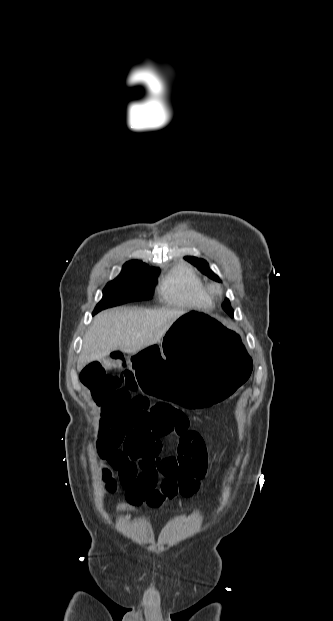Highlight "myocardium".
Listing matches in <instances>:
<instances>
[{"mask_svg":"<svg viewBox=\"0 0 333 621\" xmlns=\"http://www.w3.org/2000/svg\"><path fill=\"white\" fill-rule=\"evenodd\" d=\"M208 291L212 298H217L222 295L223 289L219 283H212L208 286Z\"/></svg>","mask_w":333,"mask_h":621,"instance_id":"f54148a6","label":"myocardium"}]
</instances>
